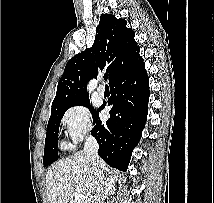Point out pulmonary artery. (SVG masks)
<instances>
[{"mask_svg":"<svg viewBox=\"0 0 214 203\" xmlns=\"http://www.w3.org/2000/svg\"><path fill=\"white\" fill-rule=\"evenodd\" d=\"M97 93H98L99 96H104V94H105V88H104V86L100 85L97 88Z\"/></svg>","mask_w":214,"mask_h":203,"instance_id":"pulmonary-artery-1","label":"pulmonary artery"}]
</instances>
